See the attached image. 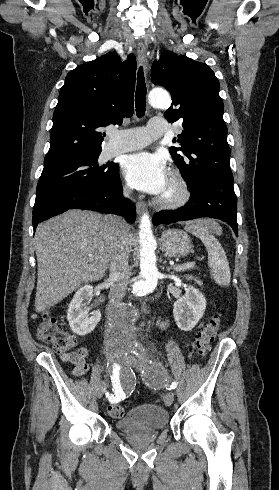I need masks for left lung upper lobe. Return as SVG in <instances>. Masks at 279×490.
I'll return each mask as SVG.
<instances>
[{"instance_id":"1","label":"left lung upper lobe","mask_w":279,"mask_h":490,"mask_svg":"<svg viewBox=\"0 0 279 490\" xmlns=\"http://www.w3.org/2000/svg\"><path fill=\"white\" fill-rule=\"evenodd\" d=\"M151 77L153 84L164 86L172 95L165 118L183 121L184 130L174 140L182 147L169 151L189 188L202 177L233 182L224 106L214 72L204 63L166 51L154 62Z\"/></svg>"}]
</instances>
